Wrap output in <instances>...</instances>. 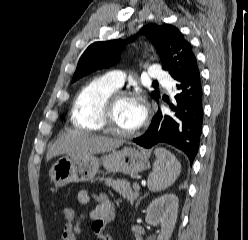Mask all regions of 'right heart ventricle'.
<instances>
[{"label": "right heart ventricle", "mask_w": 248, "mask_h": 240, "mask_svg": "<svg viewBox=\"0 0 248 240\" xmlns=\"http://www.w3.org/2000/svg\"><path fill=\"white\" fill-rule=\"evenodd\" d=\"M118 88L109 84L103 77L89 81L77 94L71 111V122L75 128L100 132V111L104 102Z\"/></svg>", "instance_id": "e07e8e85"}]
</instances>
